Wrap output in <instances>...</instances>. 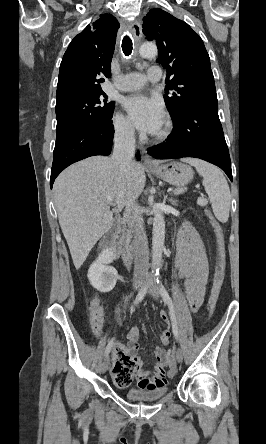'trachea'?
Instances as JSON below:
<instances>
[{"instance_id": "1", "label": "trachea", "mask_w": 266, "mask_h": 444, "mask_svg": "<svg viewBox=\"0 0 266 444\" xmlns=\"http://www.w3.org/2000/svg\"><path fill=\"white\" fill-rule=\"evenodd\" d=\"M133 50V43L129 36H125L122 40V51L125 56H130Z\"/></svg>"}]
</instances>
